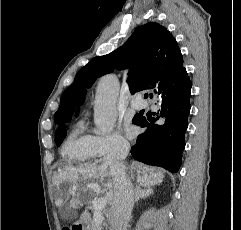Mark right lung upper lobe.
Returning <instances> with one entry per match:
<instances>
[{
  "label": "right lung upper lobe",
  "mask_w": 241,
  "mask_h": 230,
  "mask_svg": "<svg viewBox=\"0 0 241 230\" xmlns=\"http://www.w3.org/2000/svg\"><path fill=\"white\" fill-rule=\"evenodd\" d=\"M183 65V57L172 34L159 23L148 22L134 31L131 37L117 50L93 58L76 74L74 84L61 97L55 122L64 123L70 119L79 94L86 93L93 82L104 74L129 69L130 92L153 91L168 74Z\"/></svg>",
  "instance_id": "obj_1"
}]
</instances>
